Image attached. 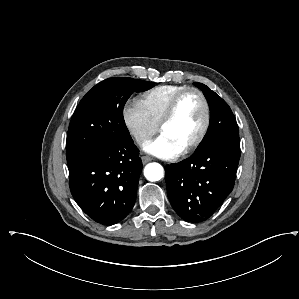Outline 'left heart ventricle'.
I'll use <instances>...</instances> for the list:
<instances>
[{
	"mask_svg": "<svg viewBox=\"0 0 299 299\" xmlns=\"http://www.w3.org/2000/svg\"><path fill=\"white\" fill-rule=\"evenodd\" d=\"M204 119V107L195 93H189L179 103L173 120L161 131L179 148H185L198 134Z\"/></svg>",
	"mask_w": 299,
	"mask_h": 299,
	"instance_id": "b2bd125f",
	"label": "left heart ventricle"
}]
</instances>
